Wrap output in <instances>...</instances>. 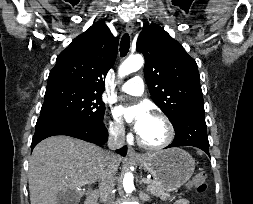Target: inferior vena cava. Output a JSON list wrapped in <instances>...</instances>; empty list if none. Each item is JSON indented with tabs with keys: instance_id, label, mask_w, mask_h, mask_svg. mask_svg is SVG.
Listing matches in <instances>:
<instances>
[{
	"instance_id": "inferior-vena-cava-1",
	"label": "inferior vena cava",
	"mask_w": 253,
	"mask_h": 204,
	"mask_svg": "<svg viewBox=\"0 0 253 204\" xmlns=\"http://www.w3.org/2000/svg\"><path fill=\"white\" fill-rule=\"evenodd\" d=\"M125 143V130L115 129L112 130L108 139V147L110 150H116L121 148ZM116 156L113 152H107L105 161V171L99 181V191L102 199L106 201V204H110L114 199V176L117 172V168L114 163V157Z\"/></svg>"
}]
</instances>
